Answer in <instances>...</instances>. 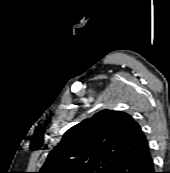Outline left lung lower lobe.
<instances>
[{"instance_id":"1","label":"left lung lower lobe","mask_w":170,"mask_h":173,"mask_svg":"<svg viewBox=\"0 0 170 173\" xmlns=\"http://www.w3.org/2000/svg\"><path fill=\"white\" fill-rule=\"evenodd\" d=\"M114 173H155L149 146L142 153L126 159Z\"/></svg>"}]
</instances>
